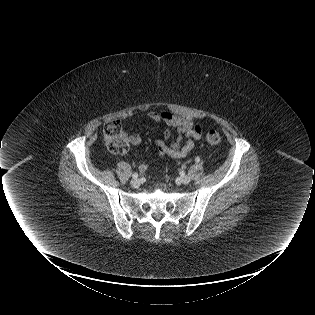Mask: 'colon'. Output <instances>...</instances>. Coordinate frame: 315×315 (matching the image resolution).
<instances>
[{
	"label": "colon",
	"mask_w": 315,
	"mask_h": 315,
	"mask_svg": "<svg viewBox=\"0 0 315 315\" xmlns=\"http://www.w3.org/2000/svg\"><path fill=\"white\" fill-rule=\"evenodd\" d=\"M103 136L108 150L114 154H125L129 149L128 137L117 120L108 122L103 129ZM207 143L217 145L221 142L220 134L215 130H210L206 135Z\"/></svg>",
	"instance_id": "obj_1"
}]
</instances>
